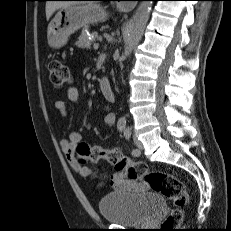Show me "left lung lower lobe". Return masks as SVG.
<instances>
[{"mask_svg": "<svg viewBox=\"0 0 231 231\" xmlns=\"http://www.w3.org/2000/svg\"><path fill=\"white\" fill-rule=\"evenodd\" d=\"M100 1H111V0H100Z\"/></svg>", "mask_w": 231, "mask_h": 231, "instance_id": "left-lung-lower-lobe-1", "label": "left lung lower lobe"}]
</instances>
